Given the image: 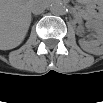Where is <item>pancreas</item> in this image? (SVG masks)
<instances>
[{
  "label": "pancreas",
  "instance_id": "1",
  "mask_svg": "<svg viewBox=\"0 0 103 103\" xmlns=\"http://www.w3.org/2000/svg\"><path fill=\"white\" fill-rule=\"evenodd\" d=\"M78 14H79V16L83 17L84 19H89L88 14L81 7H78Z\"/></svg>",
  "mask_w": 103,
  "mask_h": 103
}]
</instances>
